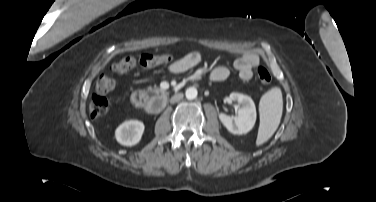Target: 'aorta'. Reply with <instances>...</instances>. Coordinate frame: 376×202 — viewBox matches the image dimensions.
Segmentation results:
<instances>
[{
  "mask_svg": "<svg viewBox=\"0 0 376 202\" xmlns=\"http://www.w3.org/2000/svg\"><path fill=\"white\" fill-rule=\"evenodd\" d=\"M197 89L195 87H189L187 88L186 92H185V95H186V98L189 99V100H193L197 97Z\"/></svg>",
  "mask_w": 376,
  "mask_h": 202,
  "instance_id": "762f6f07",
  "label": "aorta"
}]
</instances>
